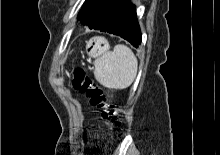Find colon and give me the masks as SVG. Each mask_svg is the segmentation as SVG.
<instances>
[{
  "mask_svg": "<svg viewBox=\"0 0 220 155\" xmlns=\"http://www.w3.org/2000/svg\"><path fill=\"white\" fill-rule=\"evenodd\" d=\"M72 86L88 98L91 107L100 110L103 120L107 124H119L115 114L110 108L103 89L97 85L81 68L72 72Z\"/></svg>",
  "mask_w": 220,
  "mask_h": 155,
  "instance_id": "1",
  "label": "colon"
}]
</instances>
